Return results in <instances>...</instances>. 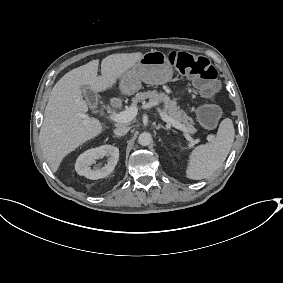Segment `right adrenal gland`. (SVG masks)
<instances>
[{
  "mask_svg": "<svg viewBox=\"0 0 283 283\" xmlns=\"http://www.w3.org/2000/svg\"><path fill=\"white\" fill-rule=\"evenodd\" d=\"M113 137L119 138L118 136H115V135Z\"/></svg>",
  "mask_w": 283,
  "mask_h": 283,
  "instance_id": "2a0ac1e0",
  "label": "right adrenal gland"
}]
</instances>
